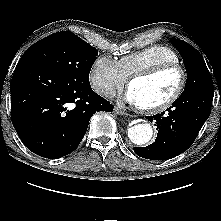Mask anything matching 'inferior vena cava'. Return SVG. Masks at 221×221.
Segmentation results:
<instances>
[{
    "label": "inferior vena cava",
    "mask_w": 221,
    "mask_h": 221,
    "mask_svg": "<svg viewBox=\"0 0 221 221\" xmlns=\"http://www.w3.org/2000/svg\"><path fill=\"white\" fill-rule=\"evenodd\" d=\"M102 93L108 97V96H111L113 93H114V90L112 87L110 86H104L103 89H102Z\"/></svg>",
    "instance_id": "602c4592"
}]
</instances>
